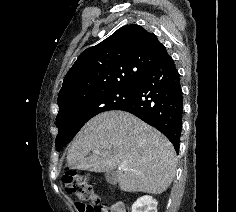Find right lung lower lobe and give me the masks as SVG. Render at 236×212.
<instances>
[{"label": "right lung lower lobe", "mask_w": 236, "mask_h": 212, "mask_svg": "<svg viewBox=\"0 0 236 212\" xmlns=\"http://www.w3.org/2000/svg\"><path fill=\"white\" fill-rule=\"evenodd\" d=\"M134 97L116 110L134 114L157 128L178 152L183 96L180 75L166 52L137 85Z\"/></svg>", "instance_id": "1"}]
</instances>
